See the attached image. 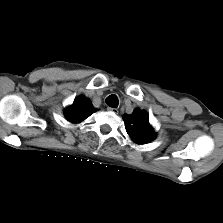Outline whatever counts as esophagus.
Instances as JSON below:
<instances>
[{
    "label": "esophagus",
    "instance_id": "34e87169",
    "mask_svg": "<svg viewBox=\"0 0 223 223\" xmlns=\"http://www.w3.org/2000/svg\"><path fill=\"white\" fill-rule=\"evenodd\" d=\"M107 111L108 112H111L113 114H118V109H116V108L108 107L107 108Z\"/></svg>",
    "mask_w": 223,
    "mask_h": 223
}]
</instances>
